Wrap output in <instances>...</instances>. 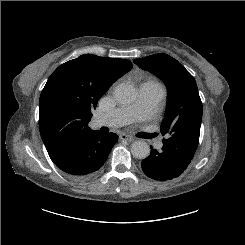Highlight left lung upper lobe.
I'll return each mask as SVG.
<instances>
[{"instance_id": "5c2ea615", "label": "left lung upper lobe", "mask_w": 245, "mask_h": 245, "mask_svg": "<svg viewBox=\"0 0 245 245\" xmlns=\"http://www.w3.org/2000/svg\"><path fill=\"white\" fill-rule=\"evenodd\" d=\"M134 63L162 78L167 86V108L160 130L170 137L163 140V144L193 158L202 120V102L195 79L183 65L167 54L135 59Z\"/></svg>"}]
</instances>
